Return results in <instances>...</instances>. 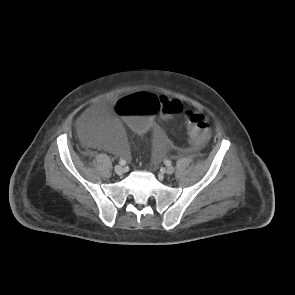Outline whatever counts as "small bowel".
<instances>
[{"label": "small bowel", "mask_w": 295, "mask_h": 295, "mask_svg": "<svg viewBox=\"0 0 295 295\" xmlns=\"http://www.w3.org/2000/svg\"><path fill=\"white\" fill-rule=\"evenodd\" d=\"M138 93H142V92H138ZM165 118H169L171 116H166V115H163ZM149 130H152L153 131V134H154V139L156 141V147H155V158L158 159L161 154H162V151H163V143H162V129L160 127V125L155 122Z\"/></svg>", "instance_id": "small-bowel-1"}]
</instances>
